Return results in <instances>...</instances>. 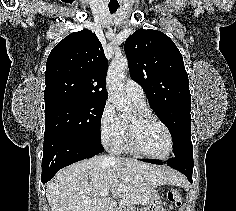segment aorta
<instances>
[{"instance_id":"1","label":"aorta","mask_w":236,"mask_h":211,"mask_svg":"<svg viewBox=\"0 0 236 211\" xmlns=\"http://www.w3.org/2000/svg\"><path fill=\"white\" fill-rule=\"evenodd\" d=\"M128 69L126 57L115 58L108 70L107 90L111 101L120 113L128 112L130 102L124 94V78Z\"/></svg>"}]
</instances>
